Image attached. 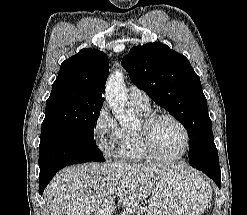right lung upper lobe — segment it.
<instances>
[{"instance_id": "1", "label": "right lung upper lobe", "mask_w": 247, "mask_h": 215, "mask_svg": "<svg viewBox=\"0 0 247 215\" xmlns=\"http://www.w3.org/2000/svg\"><path fill=\"white\" fill-rule=\"evenodd\" d=\"M108 70V57L103 52L82 49L61 64L52 92L68 89L76 96L103 102Z\"/></svg>"}]
</instances>
